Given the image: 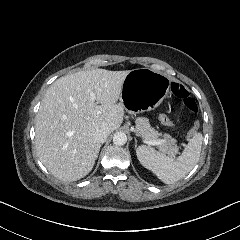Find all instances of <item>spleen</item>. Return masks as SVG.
Instances as JSON below:
<instances>
[{
  "mask_svg": "<svg viewBox=\"0 0 240 240\" xmlns=\"http://www.w3.org/2000/svg\"><path fill=\"white\" fill-rule=\"evenodd\" d=\"M202 142V134L195 133L177 159L146 145L139 146L136 155L141 165L156 174L162 182L173 184L187 175L197 164Z\"/></svg>",
  "mask_w": 240,
  "mask_h": 240,
  "instance_id": "obj_1",
  "label": "spleen"
}]
</instances>
